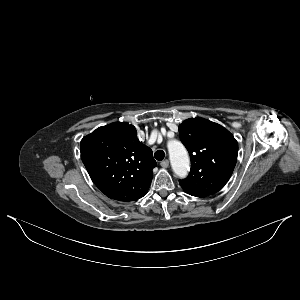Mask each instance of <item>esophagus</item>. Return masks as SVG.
<instances>
[{
    "mask_svg": "<svg viewBox=\"0 0 300 300\" xmlns=\"http://www.w3.org/2000/svg\"><path fill=\"white\" fill-rule=\"evenodd\" d=\"M160 165L163 167V168H167L169 166V161L167 159L163 160L160 162Z\"/></svg>",
    "mask_w": 300,
    "mask_h": 300,
    "instance_id": "34e87169",
    "label": "esophagus"
}]
</instances>
